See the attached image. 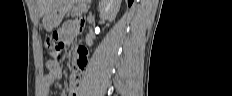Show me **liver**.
I'll list each match as a JSON object with an SVG mask.
<instances>
[{
    "label": "liver",
    "instance_id": "1",
    "mask_svg": "<svg viewBox=\"0 0 232 96\" xmlns=\"http://www.w3.org/2000/svg\"><path fill=\"white\" fill-rule=\"evenodd\" d=\"M40 15L43 16L51 4V0H38Z\"/></svg>",
    "mask_w": 232,
    "mask_h": 96
}]
</instances>
